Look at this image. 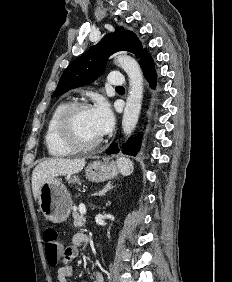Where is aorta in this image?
<instances>
[{"label": "aorta", "instance_id": "obj_1", "mask_svg": "<svg viewBox=\"0 0 232 282\" xmlns=\"http://www.w3.org/2000/svg\"><path fill=\"white\" fill-rule=\"evenodd\" d=\"M116 62L129 77L130 90L122 119V129L129 136L138 122L143 97V74L138 62L128 55H118Z\"/></svg>", "mask_w": 232, "mask_h": 282}]
</instances>
